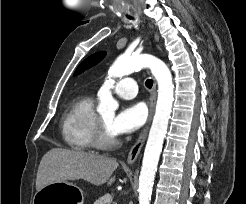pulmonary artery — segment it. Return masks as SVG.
I'll use <instances>...</instances> for the list:
<instances>
[{"label":"pulmonary artery","mask_w":246,"mask_h":204,"mask_svg":"<svg viewBox=\"0 0 246 204\" xmlns=\"http://www.w3.org/2000/svg\"><path fill=\"white\" fill-rule=\"evenodd\" d=\"M113 90L123 99H132L137 95L138 86L133 78L125 77L114 84Z\"/></svg>","instance_id":"obj_1"}]
</instances>
